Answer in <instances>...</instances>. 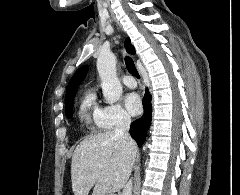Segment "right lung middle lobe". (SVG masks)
I'll use <instances>...</instances> for the list:
<instances>
[{
  "label": "right lung middle lobe",
  "mask_w": 240,
  "mask_h": 195,
  "mask_svg": "<svg viewBox=\"0 0 240 195\" xmlns=\"http://www.w3.org/2000/svg\"><path fill=\"white\" fill-rule=\"evenodd\" d=\"M73 102H71L68 106L65 107V112H66V116L69 118V117H72L73 115Z\"/></svg>",
  "instance_id": "1"
}]
</instances>
